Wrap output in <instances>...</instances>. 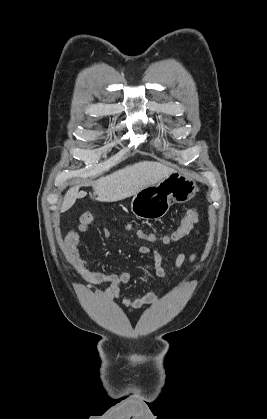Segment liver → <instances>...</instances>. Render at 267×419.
Instances as JSON below:
<instances>
[{
    "label": "liver",
    "mask_w": 267,
    "mask_h": 419,
    "mask_svg": "<svg viewBox=\"0 0 267 419\" xmlns=\"http://www.w3.org/2000/svg\"><path fill=\"white\" fill-rule=\"evenodd\" d=\"M174 170L159 162L141 161L126 166L91 182L99 202H116L135 195L144 187L155 185ZM86 196L79 186L70 188L64 197L61 212L69 210L76 199Z\"/></svg>",
    "instance_id": "obj_1"
}]
</instances>
